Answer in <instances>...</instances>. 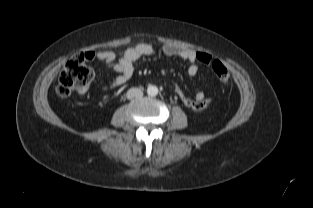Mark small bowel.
<instances>
[{"mask_svg":"<svg viewBox=\"0 0 313 208\" xmlns=\"http://www.w3.org/2000/svg\"><path fill=\"white\" fill-rule=\"evenodd\" d=\"M161 51L164 55L172 57H179L190 63L188 67V75L195 77L198 74L199 66L197 56L194 50L177 47L174 45L166 44L163 45ZM156 52L154 46L147 43H139L133 47L126 48L118 56L115 52L110 50H104L99 52H88L91 57L90 59H98L106 64L107 67L115 71L118 75L113 82L108 86L104 87V90L109 88H116L125 84L132 76L134 71V64L144 56L153 55ZM86 88L82 90L85 92ZM205 94L198 92L195 96V100L200 102L205 100Z\"/></svg>","mask_w":313,"mask_h":208,"instance_id":"c3829d8e","label":"small bowel"}]
</instances>
